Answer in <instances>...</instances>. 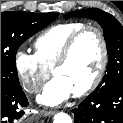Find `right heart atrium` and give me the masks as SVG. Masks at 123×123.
I'll use <instances>...</instances> for the list:
<instances>
[{"instance_id":"d8ad5b80","label":"right heart atrium","mask_w":123,"mask_h":123,"mask_svg":"<svg viewBox=\"0 0 123 123\" xmlns=\"http://www.w3.org/2000/svg\"><path fill=\"white\" fill-rule=\"evenodd\" d=\"M14 66L22 86L29 93H36L50 75V70L39 61L37 56L25 50L16 51Z\"/></svg>"}]
</instances>
